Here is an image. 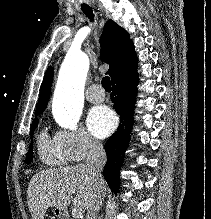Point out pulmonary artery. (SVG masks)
I'll return each mask as SVG.
<instances>
[{
	"label": "pulmonary artery",
	"mask_w": 211,
	"mask_h": 219,
	"mask_svg": "<svg viewBox=\"0 0 211 219\" xmlns=\"http://www.w3.org/2000/svg\"><path fill=\"white\" fill-rule=\"evenodd\" d=\"M100 86L98 84H93L91 85L86 94V98L88 101L91 103H101L105 99V92L104 91H99Z\"/></svg>",
	"instance_id": "pulmonary-artery-1"
}]
</instances>
